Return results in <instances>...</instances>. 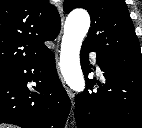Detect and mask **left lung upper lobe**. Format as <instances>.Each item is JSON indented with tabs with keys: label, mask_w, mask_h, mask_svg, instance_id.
<instances>
[{
	"label": "left lung upper lobe",
	"mask_w": 142,
	"mask_h": 128,
	"mask_svg": "<svg viewBox=\"0 0 142 128\" xmlns=\"http://www.w3.org/2000/svg\"><path fill=\"white\" fill-rule=\"evenodd\" d=\"M84 8L91 27L83 45L91 47L115 69L142 73V55L124 0H65L64 11Z\"/></svg>",
	"instance_id": "5c2ea615"
}]
</instances>
